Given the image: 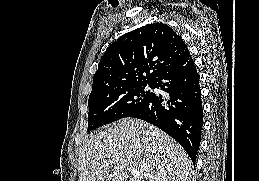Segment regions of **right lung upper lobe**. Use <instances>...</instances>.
Returning <instances> with one entry per match:
<instances>
[{
    "instance_id": "1",
    "label": "right lung upper lobe",
    "mask_w": 259,
    "mask_h": 181,
    "mask_svg": "<svg viewBox=\"0 0 259 181\" xmlns=\"http://www.w3.org/2000/svg\"><path fill=\"white\" fill-rule=\"evenodd\" d=\"M188 54L181 37L168 25L153 23L137 28L107 48L94 75L90 96L152 83L161 72Z\"/></svg>"
}]
</instances>
